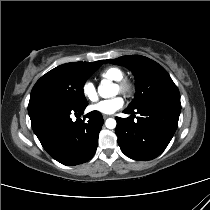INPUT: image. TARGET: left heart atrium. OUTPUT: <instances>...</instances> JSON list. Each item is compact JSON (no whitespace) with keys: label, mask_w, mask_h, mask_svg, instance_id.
<instances>
[{"label":"left heart atrium","mask_w":210,"mask_h":210,"mask_svg":"<svg viewBox=\"0 0 210 210\" xmlns=\"http://www.w3.org/2000/svg\"><path fill=\"white\" fill-rule=\"evenodd\" d=\"M124 105V100L120 96H116L111 99L102 100L89 107L91 111L98 112L104 115L113 114L117 110L121 109Z\"/></svg>","instance_id":"39dd6f15"}]
</instances>
